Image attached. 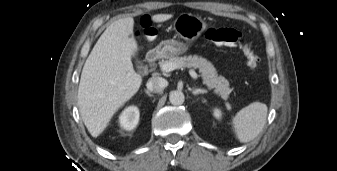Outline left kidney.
Segmentation results:
<instances>
[{
    "label": "left kidney",
    "instance_id": "left-kidney-1",
    "mask_svg": "<svg viewBox=\"0 0 337 171\" xmlns=\"http://www.w3.org/2000/svg\"><path fill=\"white\" fill-rule=\"evenodd\" d=\"M213 114H214V116H215L216 119H221V117H222L221 111L219 109H217V108L214 109Z\"/></svg>",
    "mask_w": 337,
    "mask_h": 171
}]
</instances>
